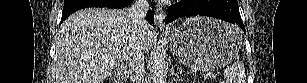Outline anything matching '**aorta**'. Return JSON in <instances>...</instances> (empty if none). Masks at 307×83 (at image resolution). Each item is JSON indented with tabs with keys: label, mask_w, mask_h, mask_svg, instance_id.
I'll list each match as a JSON object with an SVG mask.
<instances>
[{
	"label": "aorta",
	"mask_w": 307,
	"mask_h": 83,
	"mask_svg": "<svg viewBox=\"0 0 307 83\" xmlns=\"http://www.w3.org/2000/svg\"><path fill=\"white\" fill-rule=\"evenodd\" d=\"M167 66L164 56L160 50H157L153 56L152 80L153 83H166Z\"/></svg>",
	"instance_id": "762f6f07"
}]
</instances>
